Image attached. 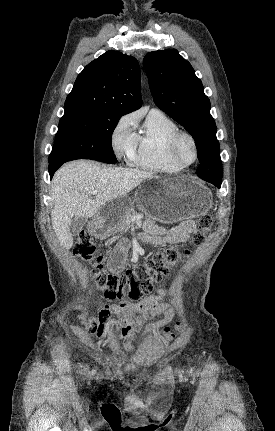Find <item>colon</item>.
<instances>
[{"mask_svg":"<svg viewBox=\"0 0 275 431\" xmlns=\"http://www.w3.org/2000/svg\"><path fill=\"white\" fill-rule=\"evenodd\" d=\"M212 224L213 220L210 215L205 214L199 217L197 220L198 231L193 238L195 245L203 243L204 237L211 230ZM73 251L79 257L91 260L95 258L96 245L87 233H82L76 241ZM189 254L190 251L181 253L169 248L155 253L149 260L139 263L120 274L106 273L103 268L102 256H97L94 261V279L106 298H136L142 293H149L153 289L154 283L159 282L169 273L172 266ZM86 331L89 334H94L97 331L95 321H91L87 325ZM180 331L181 324H178L174 329L165 328L163 335L166 339H171Z\"/></svg>","mask_w":275,"mask_h":431,"instance_id":"obj_1","label":"colon"}]
</instances>
